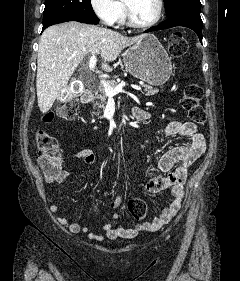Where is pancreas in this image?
<instances>
[{
	"label": "pancreas",
	"mask_w": 240,
	"mask_h": 281,
	"mask_svg": "<svg viewBox=\"0 0 240 281\" xmlns=\"http://www.w3.org/2000/svg\"><path fill=\"white\" fill-rule=\"evenodd\" d=\"M109 84L113 88L117 86V82L114 80L110 81ZM143 87L145 88L146 96L155 95L156 93L159 92V89L153 88L152 86L144 85ZM95 98L99 100L98 102H96L95 106H97L98 108H104L106 104L107 96L105 94L104 87L102 85L97 86Z\"/></svg>",
	"instance_id": "1"
}]
</instances>
